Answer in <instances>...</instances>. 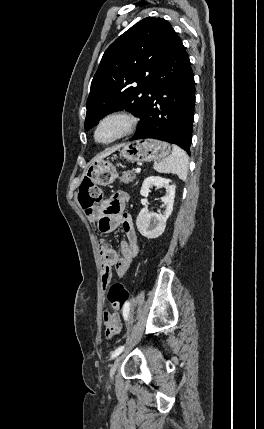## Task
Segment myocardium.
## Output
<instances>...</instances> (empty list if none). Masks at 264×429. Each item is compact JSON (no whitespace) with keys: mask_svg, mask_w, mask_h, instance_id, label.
Here are the masks:
<instances>
[{"mask_svg":"<svg viewBox=\"0 0 264 429\" xmlns=\"http://www.w3.org/2000/svg\"><path fill=\"white\" fill-rule=\"evenodd\" d=\"M113 120H117L120 121L122 123V128L121 130L112 138L108 139V140H101L98 137V133L101 129V127L109 122V121H113ZM137 125V118L130 112L128 111H113L110 112L106 115H104L102 118L99 119V121L96 123L94 131H93V138L95 140L96 143L98 144H102V145H108L111 143H114L120 139H123L125 137H127L128 135H130L136 128Z\"/></svg>","mask_w":264,"mask_h":429,"instance_id":"f54148a6","label":"myocardium"}]
</instances>
